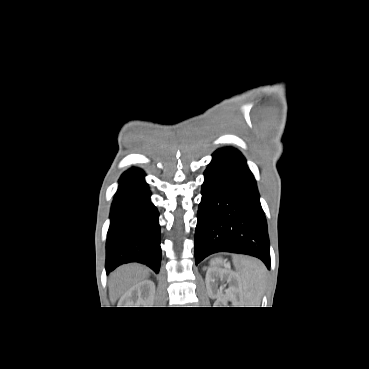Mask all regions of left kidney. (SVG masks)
Segmentation results:
<instances>
[{
    "mask_svg": "<svg viewBox=\"0 0 369 369\" xmlns=\"http://www.w3.org/2000/svg\"><path fill=\"white\" fill-rule=\"evenodd\" d=\"M215 277L220 278L221 280L226 278L227 283H229L230 287L226 292V298L232 301L234 304H242L241 298V291L239 289V282L237 275L230 271V270H223L220 268H209L206 273V288L207 293L210 298H218L220 296V292L213 289V284L215 282ZM240 306V305H239Z\"/></svg>",
    "mask_w": 369,
    "mask_h": 369,
    "instance_id": "left-kidney-1",
    "label": "left kidney"
}]
</instances>
